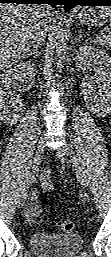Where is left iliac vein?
Listing matches in <instances>:
<instances>
[{"instance_id": "obj_1", "label": "left iliac vein", "mask_w": 111, "mask_h": 257, "mask_svg": "<svg viewBox=\"0 0 111 257\" xmlns=\"http://www.w3.org/2000/svg\"><path fill=\"white\" fill-rule=\"evenodd\" d=\"M59 154L66 155L71 159L77 179H78L79 183L81 184L82 188L85 189L86 181H85L84 173H83L82 167L80 166V164L78 163V161L75 157L72 147L68 144H65L64 146H62L60 148Z\"/></svg>"}]
</instances>
